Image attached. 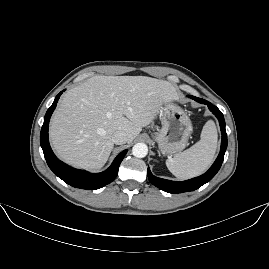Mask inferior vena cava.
Instances as JSON below:
<instances>
[{
  "label": "inferior vena cava",
  "mask_w": 269,
  "mask_h": 269,
  "mask_svg": "<svg viewBox=\"0 0 269 269\" xmlns=\"http://www.w3.org/2000/svg\"><path fill=\"white\" fill-rule=\"evenodd\" d=\"M128 140L127 133L122 130H117L112 135V141L116 145L125 144Z\"/></svg>",
  "instance_id": "obj_1"
}]
</instances>
